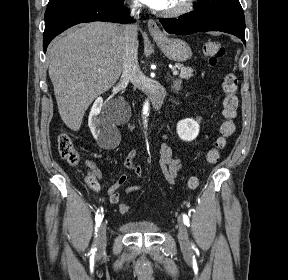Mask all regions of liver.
Segmentation results:
<instances>
[{"instance_id":"6515ba94","label":"liver","mask_w":288,"mask_h":280,"mask_svg":"<svg viewBox=\"0 0 288 280\" xmlns=\"http://www.w3.org/2000/svg\"><path fill=\"white\" fill-rule=\"evenodd\" d=\"M124 48L123 27L105 22L82 24L53 41L49 76L59 114L71 130L80 129L89 105L119 79Z\"/></svg>"}]
</instances>
